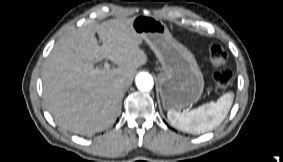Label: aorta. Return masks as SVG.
Segmentation results:
<instances>
[{
	"mask_svg": "<svg viewBox=\"0 0 283 162\" xmlns=\"http://www.w3.org/2000/svg\"><path fill=\"white\" fill-rule=\"evenodd\" d=\"M135 81L137 88L141 91H150L154 85L152 76L146 72L139 73Z\"/></svg>",
	"mask_w": 283,
	"mask_h": 162,
	"instance_id": "aorta-1",
	"label": "aorta"
}]
</instances>
